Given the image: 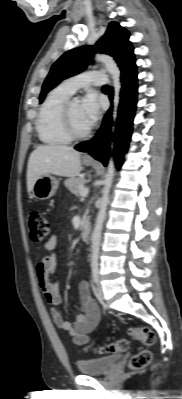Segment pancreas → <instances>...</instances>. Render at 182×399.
<instances>
[{
    "instance_id": "cf45deb5",
    "label": "pancreas",
    "mask_w": 182,
    "mask_h": 399,
    "mask_svg": "<svg viewBox=\"0 0 182 399\" xmlns=\"http://www.w3.org/2000/svg\"><path fill=\"white\" fill-rule=\"evenodd\" d=\"M86 182H87L86 179H84L83 177H77V178L66 179L64 184L72 193L80 194Z\"/></svg>"
}]
</instances>
